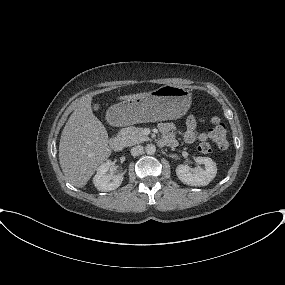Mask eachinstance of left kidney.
Here are the masks:
<instances>
[{
	"label": "left kidney",
	"mask_w": 285,
	"mask_h": 285,
	"mask_svg": "<svg viewBox=\"0 0 285 285\" xmlns=\"http://www.w3.org/2000/svg\"><path fill=\"white\" fill-rule=\"evenodd\" d=\"M198 164H204L205 169L195 168L192 172L188 165H178L176 168V175L180 181L190 186H206L216 176V163L209 157H197Z\"/></svg>",
	"instance_id": "1"
}]
</instances>
